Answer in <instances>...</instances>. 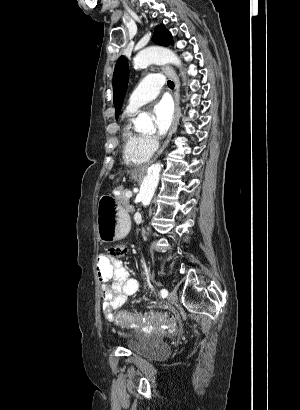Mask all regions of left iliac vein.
Returning a JSON list of instances; mask_svg holds the SVG:
<instances>
[{"mask_svg":"<svg viewBox=\"0 0 300 410\" xmlns=\"http://www.w3.org/2000/svg\"><path fill=\"white\" fill-rule=\"evenodd\" d=\"M178 300L177 294L174 291H171L168 295V301L172 304L176 303Z\"/></svg>","mask_w":300,"mask_h":410,"instance_id":"4c4485c4","label":"left iliac vein"}]
</instances>
